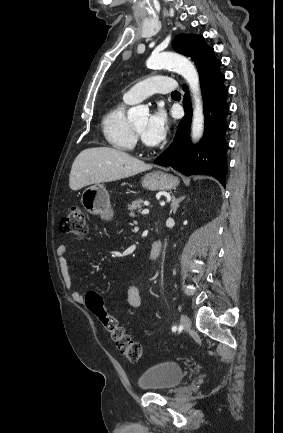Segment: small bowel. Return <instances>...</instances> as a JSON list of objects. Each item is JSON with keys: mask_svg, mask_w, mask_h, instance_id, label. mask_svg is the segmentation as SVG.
<instances>
[{"mask_svg": "<svg viewBox=\"0 0 283 433\" xmlns=\"http://www.w3.org/2000/svg\"><path fill=\"white\" fill-rule=\"evenodd\" d=\"M60 272L65 285L68 288L72 286V279L69 271V264L67 258V247L65 245H59L56 249ZM72 300L76 303L83 304L85 302L84 296L74 291L72 293ZM127 300L130 306L133 308H139L142 304L141 287L138 284H132L127 291Z\"/></svg>", "mask_w": 283, "mask_h": 433, "instance_id": "1", "label": "small bowel"}]
</instances>
